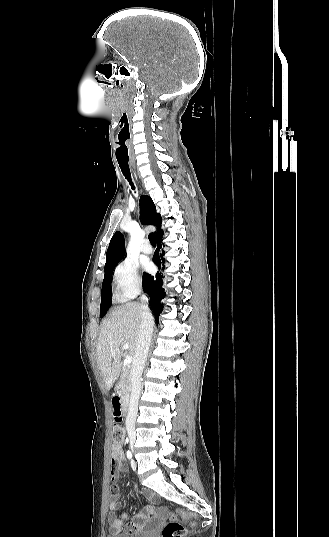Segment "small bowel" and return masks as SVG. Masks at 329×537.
Segmentation results:
<instances>
[{
	"label": "small bowel",
	"instance_id": "1",
	"mask_svg": "<svg viewBox=\"0 0 329 537\" xmlns=\"http://www.w3.org/2000/svg\"><path fill=\"white\" fill-rule=\"evenodd\" d=\"M122 409L114 405V412L112 413V420L114 423L119 424L122 422ZM111 461H110V474L112 479V487L109 501L108 520L110 527L114 531H123L125 533H138L144 531H150L155 529L159 523L166 518L167 511L162 507L148 506L143 511L135 515V519L132 522L124 524L128 519V515L123 513L121 516L115 514V510L119 507V491L117 488L119 471L123 467L124 450L123 444H113L111 447ZM143 495L156 504L158 497L149 491H144Z\"/></svg>",
	"mask_w": 329,
	"mask_h": 537
}]
</instances>
